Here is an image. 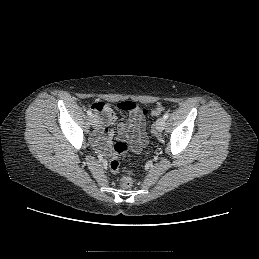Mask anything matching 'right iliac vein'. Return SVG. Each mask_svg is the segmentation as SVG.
Here are the masks:
<instances>
[{"label": "right iliac vein", "instance_id": "63e3f726", "mask_svg": "<svg viewBox=\"0 0 259 259\" xmlns=\"http://www.w3.org/2000/svg\"><path fill=\"white\" fill-rule=\"evenodd\" d=\"M90 123H91V125H92L93 127L97 126V124H98V119H97V117H96L95 115H91V117H90Z\"/></svg>", "mask_w": 259, "mask_h": 259}]
</instances>
